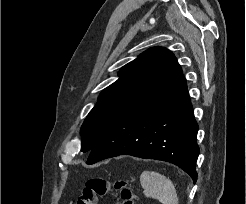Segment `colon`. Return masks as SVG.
Returning a JSON list of instances; mask_svg holds the SVG:
<instances>
[{
    "label": "colon",
    "instance_id": "obj_1",
    "mask_svg": "<svg viewBox=\"0 0 246 204\" xmlns=\"http://www.w3.org/2000/svg\"><path fill=\"white\" fill-rule=\"evenodd\" d=\"M111 188L120 191L123 204H135L137 197L126 179L111 182L102 177H94L86 182L77 204H96L98 198L105 196Z\"/></svg>",
    "mask_w": 246,
    "mask_h": 204
}]
</instances>
